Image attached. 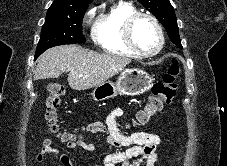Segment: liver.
Masks as SVG:
<instances>
[{
  "mask_svg": "<svg viewBox=\"0 0 227 166\" xmlns=\"http://www.w3.org/2000/svg\"><path fill=\"white\" fill-rule=\"evenodd\" d=\"M130 62L125 56L96 53L77 45L57 46L37 59L34 80L58 78L69 72V86L78 91L87 90L105 83Z\"/></svg>",
  "mask_w": 227,
  "mask_h": 166,
  "instance_id": "liver-1",
  "label": "liver"
}]
</instances>
